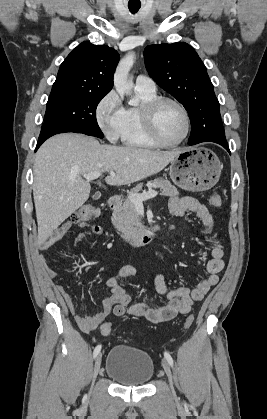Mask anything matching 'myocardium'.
<instances>
[{
	"instance_id": "1",
	"label": "myocardium",
	"mask_w": 267,
	"mask_h": 419,
	"mask_svg": "<svg viewBox=\"0 0 267 419\" xmlns=\"http://www.w3.org/2000/svg\"><path fill=\"white\" fill-rule=\"evenodd\" d=\"M164 103H172L175 106H177L182 112L183 117H184V121H185L184 133L179 140L174 141V142H168V141L163 140L157 130L156 115L159 108ZM142 120H143L144 128L147 135L158 146H162V147L178 146L186 140L190 132L191 123H190L189 112L186 109V107L175 98L161 96V97H156L155 99L149 101L148 103L144 105L142 109Z\"/></svg>"
}]
</instances>
